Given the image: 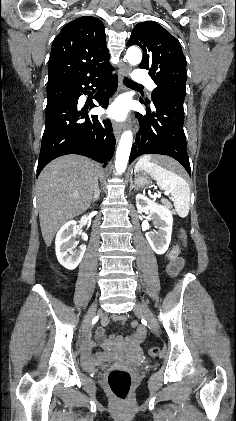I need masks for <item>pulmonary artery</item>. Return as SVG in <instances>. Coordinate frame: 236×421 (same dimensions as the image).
<instances>
[{
    "label": "pulmonary artery",
    "mask_w": 236,
    "mask_h": 421,
    "mask_svg": "<svg viewBox=\"0 0 236 421\" xmlns=\"http://www.w3.org/2000/svg\"><path fill=\"white\" fill-rule=\"evenodd\" d=\"M133 76L135 77V81L138 86H151L153 84V79L151 77H147L148 71L146 69H135L133 71Z\"/></svg>",
    "instance_id": "1"
}]
</instances>
